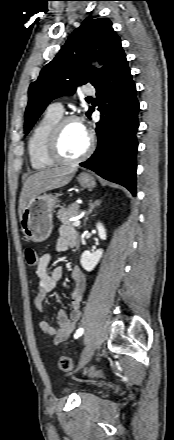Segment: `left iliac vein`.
<instances>
[{
	"label": "left iliac vein",
	"mask_w": 174,
	"mask_h": 440,
	"mask_svg": "<svg viewBox=\"0 0 174 440\" xmlns=\"http://www.w3.org/2000/svg\"><path fill=\"white\" fill-rule=\"evenodd\" d=\"M95 351V345L94 344H88L85 349L82 352L78 368H82L92 357L93 353Z\"/></svg>",
	"instance_id": "1"
}]
</instances>
